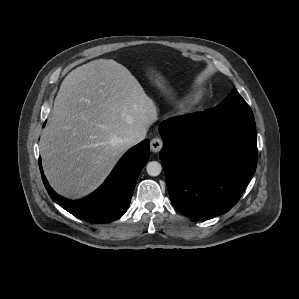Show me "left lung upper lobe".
Instances as JSON below:
<instances>
[{
  "mask_svg": "<svg viewBox=\"0 0 299 299\" xmlns=\"http://www.w3.org/2000/svg\"><path fill=\"white\" fill-rule=\"evenodd\" d=\"M205 112L209 117L220 120L254 118L250 107L235 88L218 106Z\"/></svg>",
  "mask_w": 299,
  "mask_h": 299,
  "instance_id": "obj_1",
  "label": "left lung upper lobe"
}]
</instances>
